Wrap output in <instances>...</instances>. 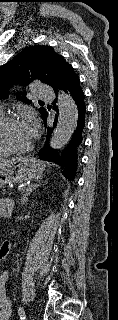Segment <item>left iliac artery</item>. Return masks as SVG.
Returning a JSON list of instances; mask_svg holds the SVG:
<instances>
[{
	"mask_svg": "<svg viewBox=\"0 0 118 320\" xmlns=\"http://www.w3.org/2000/svg\"><path fill=\"white\" fill-rule=\"evenodd\" d=\"M18 312H19L20 319L21 320H25L26 319V314H25V311H24L23 307H20Z\"/></svg>",
	"mask_w": 118,
	"mask_h": 320,
	"instance_id": "obj_1",
	"label": "left iliac artery"
}]
</instances>
